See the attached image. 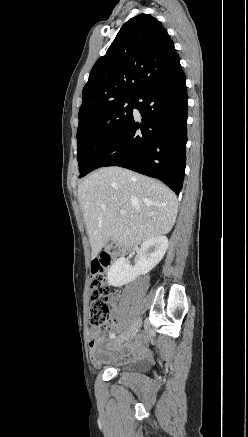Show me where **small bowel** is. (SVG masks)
<instances>
[{"instance_id": "obj_1", "label": "small bowel", "mask_w": 248, "mask_h": 437, "mask_svg": "<svg viewBox=\"0 0 248 437\" xmlns=\"http://www.w3.org/2000/svg\"><path fill=\"white\" fill-rule=\"evenodd\" d=\"M111 305H116L117 296L112 294L109 296ZM114 323L107 325V329L111 331L114 329ZM89 346L91 350V357L95 363L108 362L112 358H119L127 360L134 357H141L147 355L146 338L142 334H135L132 339L124 347L113 349L106 337L99 329H92L89 332Z\"/></svg>"}]
</instances>
